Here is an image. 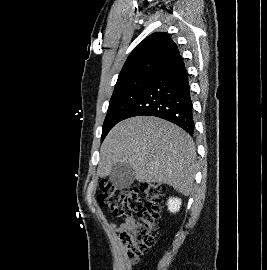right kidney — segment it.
I'll return each instance as SVG.
<instances>
[{"label": "right kidney", "mask_w": 267, "mask_h": 270, "mask_svg": "<svg viewBox=\"0 0 267 270\" xmlns=\"http://www.w3.org/2000/svg\"><path fill=\"white\" fill-rule=\"evenodd\" d=\"M182 204L181 199L179 198H169L168 200V210L172 213H176L180 210V206Z\"/></svg>", "instance_id": "right-kidney-1"}]
</instances>
